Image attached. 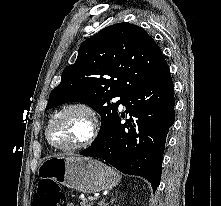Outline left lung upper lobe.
<instances>
[{"instance_id":"1","label":"left lung upper lobe","mask_w":221,"mask_h":206,"mask_svg":"<svg viewBox=\"0 0 221 206\" xmlns=\"http://www.w3.org/2000/svg\"><path fill=\"white\" fill-rule=\"evenodd\" d=\"M167 69L159 46L143 28L128 22L108 26L82 43L76 62L64 69L51 92L46 110L65 102L90 105L101 114L96 142L114 125L119 104ZM114 97L121 99L112 102Z\"/></svg>"}]
</instances>
